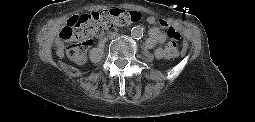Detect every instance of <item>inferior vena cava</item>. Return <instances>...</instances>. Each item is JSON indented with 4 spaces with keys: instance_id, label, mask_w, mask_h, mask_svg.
Returning a JSON list of instances; mask_svg holds the SVG:
<instances>
[{
    "instance_id": "obj_1",
    "label": "inferior vena cava",
    "mask_w": 255,
    "mask_h": 122,
    "mask_svg": "<svg viewBox=\"0 0 255 122\" xmlns=\"http://www.w3.org/2000/svg\"><path fill=\"white\" fill-rule=\"evenodd\" d=\"M108 37H109V38L118 37V33H116V32H111V33H109Z\"/></svg>"
}]
</instances>
